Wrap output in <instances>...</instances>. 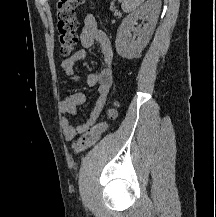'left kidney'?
Listing matches in <instances>:
<instances>
[{
	"instance_id": "1",
	"label": "left kidney",
	"mask_w": 216,
	"mask_h": 217,
	"mask_svg": "<svg viewBox=\"0 0 216 217\" xmlns=\"http://www.w3.org/2000/svg\"><path fill=\"white\" fill-rule=\"evenodd\" d=\"M160 0H148L137 10L129 14L122 21L115 41L118 55L123 58L132 59L140 55L148 44L156 27L160 13ZM139 19L147 20L148 23L143 28H135ZM131 32L135 33L132 37ZM136 36L137 39H136Z\"/></svg>"
}]
</instances>
